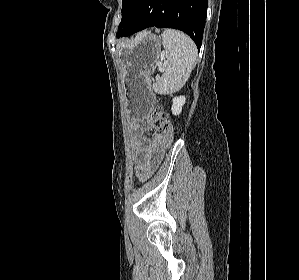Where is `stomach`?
Instances as JSON below:
<instances>
[{
  "label": "stomach",
  "mask_w": 299,
  "mask_h": 280,
  "mask_svg": "<svg viewBox=\"0 0 299 280\" xmlns=\"http://www.w3.org/2000/svg\"><path fill=\"white\" fill-rule=\"evenodd\" d=\"M160 53V38L150 32L139 34L119 52L124 69L125 102L132 116L146 117L153 106L149 77L157 67Z\"/></svg>",
  "instance_id": "obj_1"
}]
</instances>
